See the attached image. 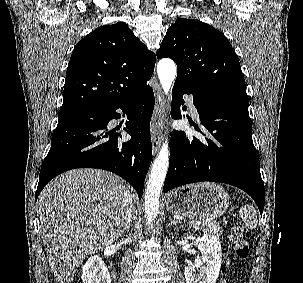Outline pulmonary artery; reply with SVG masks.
<instances>
[{
	"mask_svg": "<svg viewBox=\"0 0 303 283\" xmlns=\"http://www.w3.org/2000/svg\"><path fill=\"white\" fill-rule=\"evenodd\" d=\"M184 99L185 101L187 102V105L189 107V110L191 112V114L196 118L198 119L199 118V114L197 112V109L194 105V102H193V98L191 96H188V95H185L184 96Z\"/></svg>",
	"mask_w": 303,
	"mask_h": 283,
	"instance_id": "1",
	"label": "pulmonary artery"
}]
</instances>
